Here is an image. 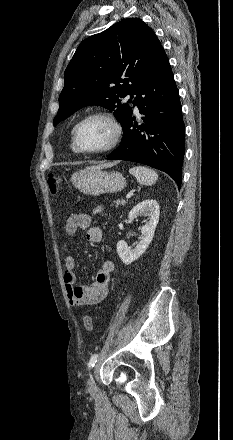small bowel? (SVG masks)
I'll return each instance as SVG.
<instances>
[{"label": "small bowel", "instance_id": "small-bowel-1", "mask_svg": "<svg viewBox=\"0 0 233 440\" xmlns=\"http://www.w3.org/2000/svg\"><path fill=\"white\" fill-rule=\"evenodd\" d=\"M101 210L98 207L90 213H73L69 215L65 224L66 240L71 242L78 231L86 230L88 242H100L102 230L99 227L92 226V220ZM76 265L77 262L73 256H68L65 259L63 279L70 304L73 306H83L101 302L108 294L114 263L109 259L104 260L95 275L94 281L89 285H76Z\"/></svg>", "mask_w": 233, "mask_h": 440}]
</instances>
